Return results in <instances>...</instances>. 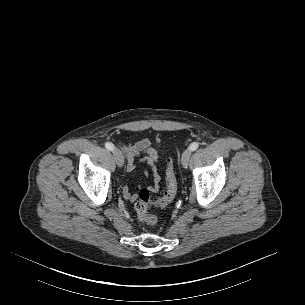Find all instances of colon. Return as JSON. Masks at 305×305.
Instances as JSON below:
<instances>
[{
  "label": "colon",
  "mask_w": 305,
  "mask_h": 305,
  "mask_svg": "<svg viewBox=\"0 0 305 305\" xmlns=\"http://www.w3.org/2000/svg\"><path fill=\"white\" fill-rule=\"evenodd\" d=\"M177 190V180L173 170L172 161L168 159L166 166V190L157 200L151 199V193L148 189H141L139 191L135 203V211L138 219L150 227H155L158 222L157 217L152 215L149 210L152 207H165L169 205L174 200Z\"/></svg>",
  "instance_id": "obj_1"
}]
</instances>
